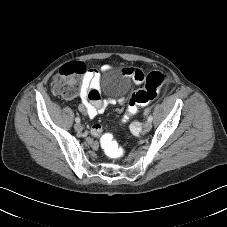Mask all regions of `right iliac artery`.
<instances>
[{
    "mask_svg": "<svg viewBox=\"0 0 227 227\" xmlns=\"http://www.w3.org/2000/svg\"><path fill=\"white\" fill-rule=\"evenodd\" d=\"M75 121H76V123H79L80 122V118L76 117Z\"/></svg>",
    "mask_w": 227,
    "mask_h": 227,
    "instance_id": "right-iliac-artery-1",
    "label": "right iliac artery"
}]
</instances>
